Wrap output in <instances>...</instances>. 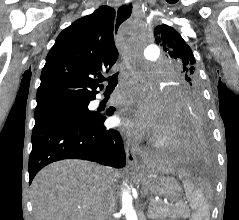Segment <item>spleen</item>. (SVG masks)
Masks as SVG:
<instances>
[{
    "mask_svg": "<svg viewBox=\"0 0 239 220\" xmlns=\"http://www.w3.org/2000/svg\"><path fill=\"white\" fill-rule=\"evenodd\" d=\"M183 186L193 210L190 220H210V209L204 194L188 180L183 181Z\"/></svg>",
    "mask_w": 239,
    "mask_h": 220,
    "instance_id": "1",
    "label": "spleen"
}]
</instances>
